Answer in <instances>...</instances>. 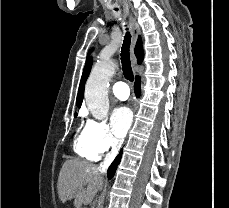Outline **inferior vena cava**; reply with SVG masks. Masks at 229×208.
Listing matches in <instances>:
<instances>
[{
    "instance_id": "602c4592",
    "label": "inferior vena cava",
    "mask_w": 229,
    "mask_h": 208,
    "mask_svg": "<svg viewBox=\"0 0 229 208\" xmlns=\"http://www.w3.org/2000/svg\"><path fill=\"white\" fill-rule=\"evenodd\" d=\"M115 156H116V152H111V154H108V156H106V158L103 162V166H101V168H99V170H106V168H104V166H106V164H111V162H113Z\"/></svg>"
}]
</instances>
